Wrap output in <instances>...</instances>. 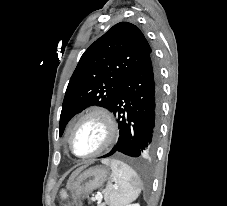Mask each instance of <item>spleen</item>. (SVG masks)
Returning <instances> with one entry per match:
<instances>
[{"label": "spleen", "mask_w": 227, "mask_h": 206, "mask_svg": "<svg viewBox=\"0 0 227 206\" xmlns=\"http://www.w3.org/2000/svg\"><path fill=\"white\" fill-rule=\"evenodd\" d=\"M103 163L110 165L112 169L111 183L108 185L106 201L109 206H127L137 199L141 192V180L137 173L122 161L111 159Z\"/></svg>", "instance_id": "1"}]
</instances>
